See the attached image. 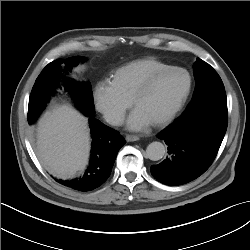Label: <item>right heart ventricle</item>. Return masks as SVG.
I'll list each match as a JSON object with an SVG mask.
<instances>
[{"mask_svg":"<svg viewBox=\"0 0 250 250\" xmlns=\"http://www.w3.org/2000/svg\"><path fill=\"white\" fill-rule=\"evenodd\" d=\"M168 66L170 65L153 57L135 59L115 69L110 81L118 91L132 99L151 74Z\"/></svg>","mask_w":250,"mask_h":250,"instance_id":"e07e8e85","label":"right heart ventricle"}]
</instances>
